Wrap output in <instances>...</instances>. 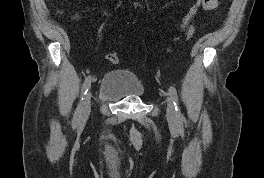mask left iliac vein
<instances>
[{
  "instance_id": "left-iliac-vein-1",
  "label": "left iliac vein",
  "mask_w": 264,
  "mask_h": 178,
  "mask_svg": "<svg viewBox=\"0 0 264 178\" xmlns=\"http://www.w3.org/2000/svg\"><path fill=\"white\" fill-rule=\"evenodd\" d=\"M167 118L170 124H176V111L171 98H167Z\"/></svg>"
}]
</instances>
